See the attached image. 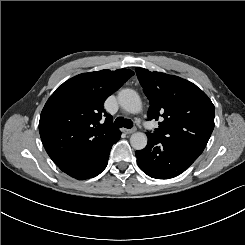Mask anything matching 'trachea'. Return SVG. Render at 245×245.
<instances>
[{"mask_svg":"<svg viewBox=\"0 0 245 245\" xmlns=\"http://www.w3.org/2000/svg\"><path fill=\"white\" fill-rule=\"evenodd\" d=\"M134 126L133 122L130 119H124L123 117H118L114 122V127L121 128H132Z\"/></svg>","mask_w":245,"mask_h":245,"instance_id":"1","label":"trachea"}]
</instances>
